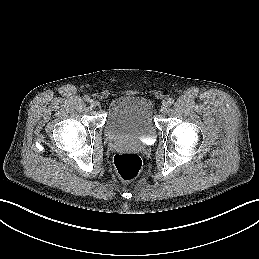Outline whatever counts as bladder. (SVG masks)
Instances as JSON below:
<instances>
[{
    "mask_svg": "<svg viewBox=\"0 0 259 259\" xmlns=\"http://www.w3.org/2000/svg\"><path fill=\"white\" fill-rule=\"evenodd\" d=\"M104 133L109 139L153 140L157 134L152 101L140 95H122L108 105Z\"/></svg>",
    "mask_w": 259,
    "mask_h": 259,
    "instance_id": "obj_1",
    "label": "bladder"
}]
</instances>
